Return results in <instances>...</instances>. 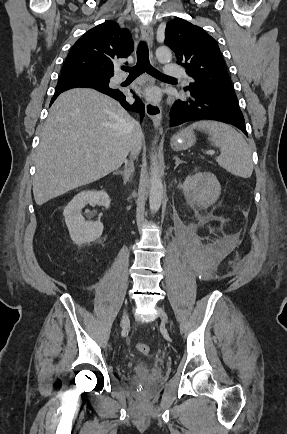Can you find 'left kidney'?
<instances>
[{
	"label": "left kidney",
	"instance_id": "obj_1",
	"mask_svg": "<svg viewBox=\"0 0 287 434\" xmlns=\"http://www.w3.org/2000/svg\"><path fill=\"white\" fill-rule=\"evenodd\" d=\"M183 191L190 202L208 206L219 198L221 186L214 174L199 172L185 179Z\"/></svg>",
	"mask_w": 287,
	"mask_h": 434
}]
</instances>
